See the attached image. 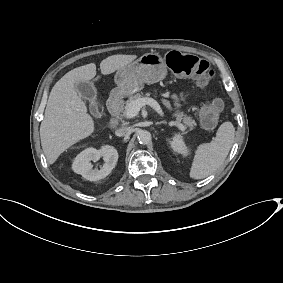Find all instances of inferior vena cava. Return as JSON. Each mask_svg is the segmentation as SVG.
<instances>
[{"label":"inferior vena cava","instance_id":"inferior-vena-cava-1","mask_svg":"<svg viewBox=\"0 0 283 283\" xmlns=\"http://www.w3.org/2000/svg\"><path fill=\"white\" fill-rule=\"evenodd\" d=\"M128 132V127H122L115 131L116 136H124Z\"/></svg>","mask_w":283,"mask_h":283}]
</instances>
